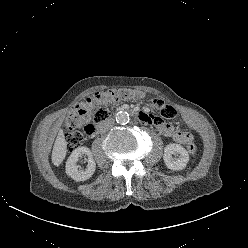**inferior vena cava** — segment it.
Returning <instances> with one entry per match:
<instances>
[{
  "label": "inferior vena cava",
  "mask_w": 248,
  "mask_h": 248,
  "mask_svg": "<svg viewBox=\"0 0 248 248\" xmlns=\"http://www.w3.org/2000/svg\"><path fill=\"white\" fill-rule=\"evenodd\" d=\"M114 119L112 118H109V119H106L104 121H102L100 124H99V129L102 131V132H105L107 131L108 129H110L111 127H113L114 125Z\"/></svg>",
  "instance_id": "inferior-vena-cava-1"
}]
</instances>
